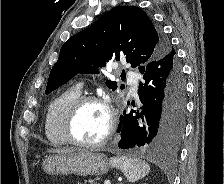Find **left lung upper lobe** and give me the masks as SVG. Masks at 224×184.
Listing matches in <instances>:
<instances>
[{"instance_id": "1", "label": "left lung upper lobe", "mask_w": 224, "mask_h": 184, "mask_svg": "<svg viewBox=\"0 0 224 184\" xmlns=\"http://www.w3.org/2000/svg\"><path fill=\"white\" fill-rule=\"evenodd\" d=\"M172 50L146 13L135 6L116 7L97 22L70 37L60 49L46 87V94L60 87L77 73H99L113 56L126 58L139 71ZM177 57V56H176ZM108 88L117 83L106 81Z\"/></svg>"}]
</instances>
